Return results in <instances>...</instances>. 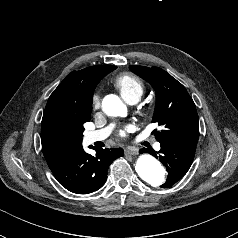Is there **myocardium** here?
Instances as JSON below:
<instances>
[{
	"label": "myocardium",
	"instance_id": "myocardium-1",
	"mask_svg": "<svg viewBox=\"0 0 238 238\" xmlns=\"http://www.w3.org/2000/svg\"><path fill=\"white\" fill-rule=\"evenodd\" d=\"M149 111H150V109L149 108H144V109H142L141 110V115H143V116H147L148 114H149Z\"/></svg>",
	"mask_w": 238,
	"mask_h": 238
}]
</instances>
